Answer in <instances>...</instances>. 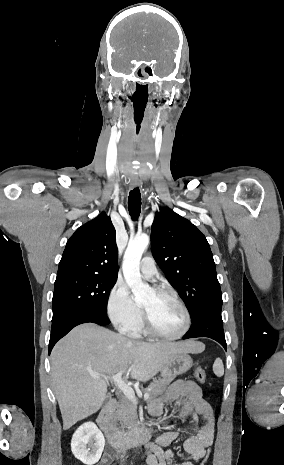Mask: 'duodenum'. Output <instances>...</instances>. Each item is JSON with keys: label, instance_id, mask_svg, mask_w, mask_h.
Instances as JSON below:
<instances>
[{"label": "duodenum", "instance_id": "410a0bca", "mask_svg": "<svg viewBox=\"0 0 284 465\" xmlns=\"http://www.w3.org/2000/svg\"><path fill=\"white\" fill-rule=\"evenodd\" d=\"M116 400H109L97 415L96 423L104 433L108 442L115 449H123L137 442H147L149 438L148 430L138 427L128 434L119 433L111 423V414L116 406Z\"/></svg>", "mask_w": 284, "mask_h": 465}]
</instances>
